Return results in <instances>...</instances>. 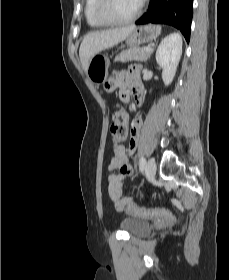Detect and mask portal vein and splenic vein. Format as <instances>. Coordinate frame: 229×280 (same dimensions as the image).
I'll use <instances>...</instances> for the list:
<instances>
[{"label":"portal vein and splenic vein","instance_id":"obj_1","mask_svg":"<svg viewBox=\"0 0 229 280\" xmlns=\"http://www.w3.org/2000/svg\"><path fill=\"white\" fill-rule=\"evenodd\" d=\"M144 51H145V52H151V51H152V49H151V48H149V47H147V48H144Z\"/></svg>","mask_w":229,"mask_h":280}]
</instances>
